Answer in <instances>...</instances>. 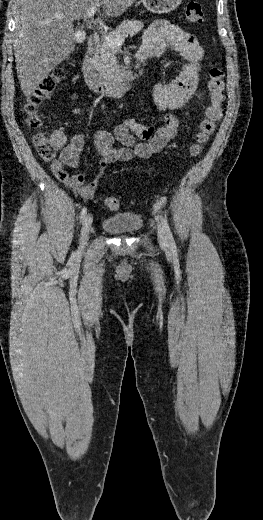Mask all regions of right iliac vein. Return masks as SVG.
I'll return each mask as SVG.
<instances>
[{
	"mask_svg": "<svg viewBox=\"0 0 263 520\" xmlns=\"http://www.w3.org/2000/svg\"><path fill=\"white\" fill-rule=\"evenodd\" d=\"M93 217L91 214H87L84 218L82 230H81V237H80V247L81 250H83L87 244L88 237H89V231L92 226Z\"/></svg>",
	"mask_w": 263,
	"mask_h": 520,
	"instance_id": "right-iliac-vein-1",
	"label": "right iliac vein"
}]
</instances>
